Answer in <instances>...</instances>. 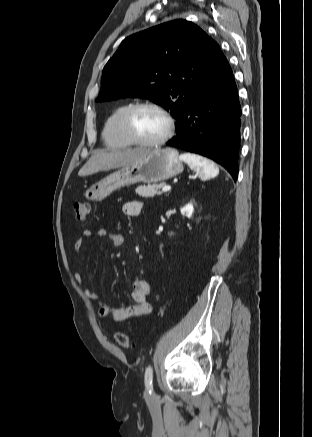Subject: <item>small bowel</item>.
<instances>
[{"label":"small bowel","instance_id":"1","mask_svg":"<svg viewBox=\"0 0 312 437\" xmlns=\"http://www.w3.org/2000/svg\"><path fill=\"white\" fill-rule=\"evenodd\" d=\"M142 202L138 200L128 201L123 206V212L127 216H136L142 210ZM98 237L107 238L113 247H121L123 244V237L115 232L109 231L105 228L97 230ZM85 237H91L90 230L84 231ZM84 245L83 238H79L75 243L76 251H80ZM75 279L78 283L82 282L81 275L75 274ZM132 300L133 304L127 306H111L107 304L98 291L92 289H85L87 297L97 303V314L103 319H111L114 321H124L132 317L147 315L152 311V306L147 301L150 294V287L146 280L137 278L133 281Z\"/></svg>","mask_w":312,"mask_h":437}]
</instances>
